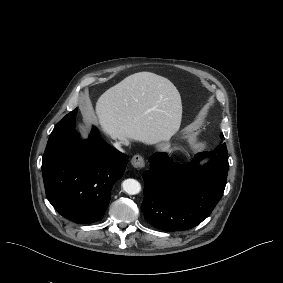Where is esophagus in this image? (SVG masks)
Here are the masks:
<instances>
[{
	"instance_id": "obj_1",
	"label": "esophagus",
	"mask_w": 283,
	"mask_h": 283,
	"mask_svg": "<svg viewBox=\"0 0 283 283\" xmlns=\"http://www.w3.org/2000/svg\"><path fill=\"white\" fill-rule=\"evenodd\" d=\"M131 165L134 167V168H138V169H141L145 166V161L143 159L142 156L140 155H134L131 159Z\"/></svg>"
}]
</instances>
